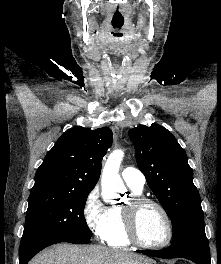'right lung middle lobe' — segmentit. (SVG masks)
Masks as SVG:
<instances>
[{"label":"right lung middle lobe","instance_id":"right-lung-middle-lobe-1","mask_svg":"<svg viewBox=\"0 0 221 264\" xmlns=\"http://www.w3.org/2000/svg\"><path fill=\"white\" fill-rule=\"evenodd\" d=\"M90 191L39 190L30 193L20 251L51 240L90 239L84 219Z\"/></svg>","mask_w":221,"mask_h":264}]
</instances>
